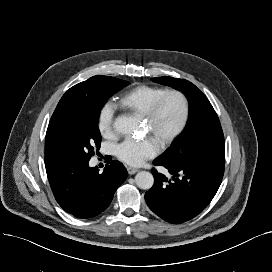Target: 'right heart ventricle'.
Listing matches in <instances>:
<instances>
[{
  "label": "right heart ventricle",
  "instance_id": "1",
  "mask_svg": "<svg viewBox=\"0 0 272 272\" xmlns=\"http://www.w3.org/2000/svg\"><path fill=\"white\" fill-rule=\"evenodd\" d=\"M166 88L149 85H139L121 98V105L139 115H145L152 104L159 98Z\"/></svg>",
  "mask_w": 272,
  "mask_h": 272
}]
</instances>
